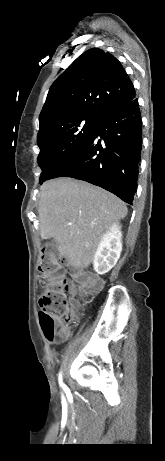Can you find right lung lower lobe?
I'll list each match as a JSON object with an SVG mask.
<instances>
[{
    "label": "right lung lower lobe",
    "instance_id": "right-lung-lower-lobe-1",
    "mask_svg": "<svg viewBox=\"0 0 165 461\" xmlns=\"http://www.w3.org/2000/svg\"><path fill=\"white\" fill-rule=\"evenodd\" d=\"M138 99L99 118L89 139L50 177H72L100 186L132 204L141 161Z\"/></svg>",
    "mask_w": 165,
    "mask_h": 461
}]
</instances>
